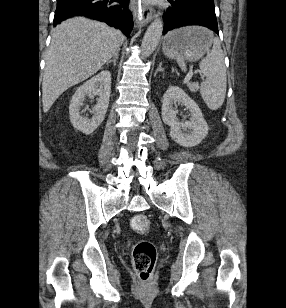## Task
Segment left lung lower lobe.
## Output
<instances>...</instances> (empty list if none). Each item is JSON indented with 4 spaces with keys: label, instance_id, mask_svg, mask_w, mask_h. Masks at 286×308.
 Masks as SVG:
<instances>
[{
    "label": "left lung lower lobe",
    "instance_id": "1",
    "mask_svg": "<svg viewBox=\"0 0 286 308\" xmlns=\"http://www.w3.org/2000/svg\"><path fill=\"white\" fill-rule=\"evenodd\" d=\"M168 1L172 7H169L164 15L163 34L169 30L189 25L205 26L219 34L214 0Z\"/></svg>",
    "mask_w": 286,
    "mask_h": 308
}]
</instances>
